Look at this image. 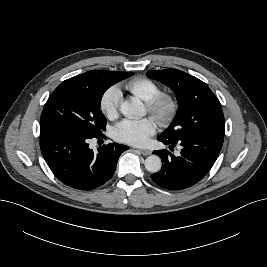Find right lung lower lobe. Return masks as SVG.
Listing matches in <instances>:
<instances>
[{
  "label": "right lung lower lobe",
  "mask_w": 267,
  "mask_h": 267,
  "mask_svg": "<svg viewBox=\"0 0 267 267\" xmlns=\"http://www.w3.org/2000/svg\"><path fill=\"white\" fill-rule=\"evenodd\" d=\"M91 138L49 122L40 123L44 159L53 174L74 189L92 190L106 183L114 174L120 155L129 149L109 143L94 153L88 144Z\"/></svg>",
  "instance_id": "right-lung-lower-lobe-1"
}]
</instances>
